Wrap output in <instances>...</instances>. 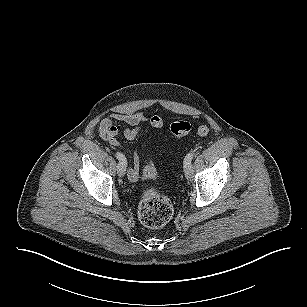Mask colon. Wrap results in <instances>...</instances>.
<instances>
[{
    "label": "colon",
    "mask_w": 307,
    "mask_h": 307,
    "mask_svg": "<svg viewBox=\"0 0 307 307\" xmlns=\"http://www.w3.org/2000/svg\"><path fill=\"white\" fill-rule=\"evenodd\" d=\"M191 129L190 123L186 121H177L170 126V132L177 138L189 134ZM209 132L210 129L207 125H201L197 128L199 136H207ZM142 174L145 179L157 178V170L150 160L146 162ZM172 215L173 206L167 197L161 195L155 188H148L143 192L138 206V217L145 226L162 227L169 222Z\"/></svg>",
    "instance_id": "obj_1"
}]
</instances>
